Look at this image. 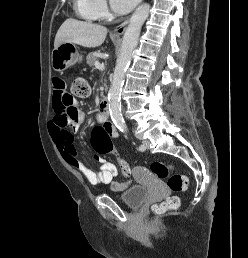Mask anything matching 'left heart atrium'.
<instances>
[{"instance_id":"1","label":"left heart atrium","mask_w":248,"mask_h":258,"mask_svg":"<svg viewBox=\"0 0 248 258\" xmlns=\"http://www.w3.org/2000/svg\"><path fill=\"white\" fill-rule=\"evenodd\" d=\"M140 0H111L113 9L120 14L129 12Z\"/></svg>"}]
</instances>
